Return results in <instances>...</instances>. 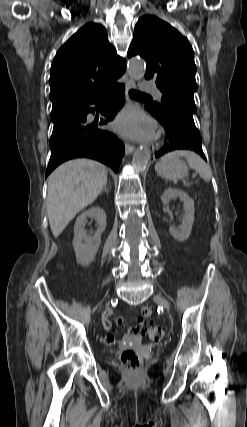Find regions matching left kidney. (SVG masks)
<instances>
[{"mask_svg": "<svg viewBox=\"0 0 247 427\" xmlns=\"http://www.w3.org/2000/svg\"><path fill=\"white\" fill-rule=\"evenodd\" d=\"M176 198H180V200H182L184 203L183 222L182 225L178 228L170 227L169 232L174 239L179 242H183L189 238L192 231L195 212L194 201L186 192L174 188L166 189L161 196V201L164 205H166L170 202V200Z\"/></svg>", "mask_w": 247, "mask_h": 427, "instance_id": "left-kidney-1", "label": "left kidney"}]
</instances>
